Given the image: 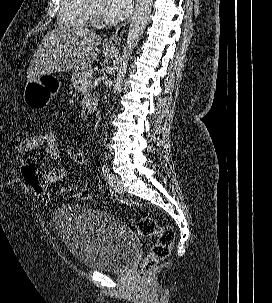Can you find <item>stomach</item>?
Wrapping results in <instances>:
<instances>
[{"label": "stomach", "instance_id": "1", "mask_svg": "<svg viewBox=\"0 0 272 303\" xmlns=\"http://www.w3.org/2000/svg\"><path fill=\"white\" fill-rule=\"evenodd\" d=\"M106 52H113L112 48H105ZM59 89V82L53 76L41 75L28 79L23 90L24 103L32 109L46 107Z\"/></svg>", "mask_w": 272, "mask_h": 303}]
</instances>
